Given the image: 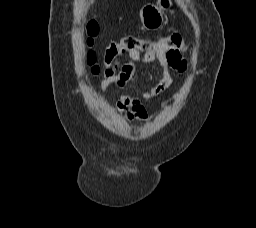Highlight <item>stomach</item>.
<instances>
[{
  "mask_svg": "<svg viewBox=\"0 0 256 228\" xmlns=\"http://www.w3.org/2000/svg\"><path fill=\"white\" fill-rule=\"evenodd\" d=\"M172 6V0H158L157 5H146L140 10V18L143 27L147 30L159 29L164 18L162 11Z\"/></svg>",
  "mask_w": 256,
  "mask_h": 228,
  "instance_id": "obj_1",
  "label": "stomach"
}]
</instances>
